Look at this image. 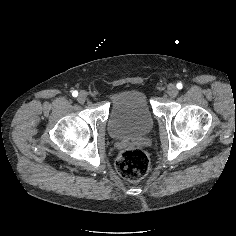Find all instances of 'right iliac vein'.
<instances>
[{
    "label": "right iliac vein",
    "mask_w": 236,
    "mask_h": 236,
    "mask_svg": "<svg viewBox=\"0 0 236 236\" xmlns=\"http://www.w3.org/2000/svg\"><path fill=\"white\" fill-rule=\"evenodd\" d=\"M87 96H88L87 92L81 91L78 95V98H77L78 102L79 103H84L87 99Z\"/></svg>",
    "instance_id": "right-iliac-vein-1"
}]
</instances>
